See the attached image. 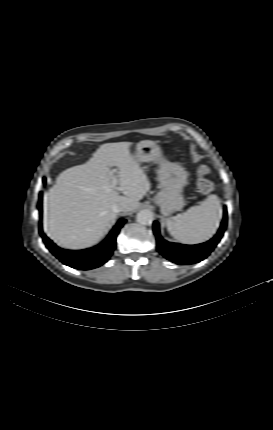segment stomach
<instances>
[{
    "label": "stomach",
    "instance_id": "1",
    "mask_svg": "<svg viewBox=\"0 0 273 430\" xmlns=\"http://www.w3.org/2000/svg\"><path fill=\"white\" fill-rule=\"evenodd\" d=\"M134 159L137 164L152 161L159 165L158 181L161 189L155 195L154 201L160 207L161 213L169 215L181 210L185 205L182 191L187 184V171L178 163L164 159L160 146L151 140H143L137 144Z\"/></svg>",
    "mask_w": 273,
    "mask_h": 430
}]
</instances>
